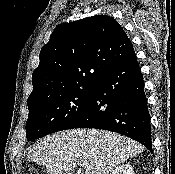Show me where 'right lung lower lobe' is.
I'll return each mask as SVG.
<instances>
[{"mask_svg": "<svg viewBox=\"0 0 175 174\" xmlns=\"http://www.w3.org/2000/svg\"><path fill=\"white\" fill-rule=\"evenodd\" d=\"M73 128L114 131L152 152L150 115L136 55L109 69L95 83L87 106L64 130Z\"/></svg>", "mask_w": 175, "mask_h": 174, "instance_id": "1", "label": "right lung lower lobe"}]
</instances>
